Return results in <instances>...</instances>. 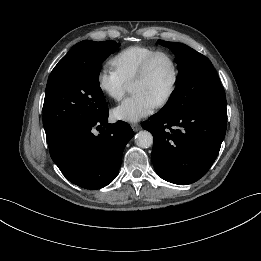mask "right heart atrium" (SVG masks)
Instances as JSON below:
<instances>
[{
    "label": "right heart atrium",
    "instance_id": "right-heart-atrium-1",
    "mask_svg": "<svg viewBox=\"0 0 261 261\" xmlns=\"http://www.w3.org/2000/svg\"><path fill=\"white\" fill-rule=\"evenodd\" d=\"M97 85L106 97L119 101L125 94L127 83L114 71L102 68L97 74Z\"/></svg>",
    "mask_w": 261,
    "mask_h": 261
}]
</instances>
